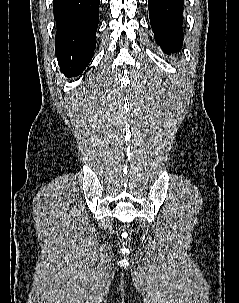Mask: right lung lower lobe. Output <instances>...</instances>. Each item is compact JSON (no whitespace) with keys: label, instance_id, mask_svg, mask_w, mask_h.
Segmentation results:
<instances>
[{"label":"right lung lower lobe","instance_id":"98d812e1","mask_svg":"<svg viewBox=\"0 0 239 303\" xmlns=\"http://www.w3.org/2000/svg\"><path fill=\"white\" fill-rule=\"evenodd\" d=\"M100 0H54L55 49L67 77L83 72L96 47Z\"/></svg>","mask_w":239,"mask_h":303}]
</instances>
